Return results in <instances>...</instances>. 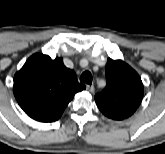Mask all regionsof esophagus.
Returning <instances> with one entry per match:
<instances>
[{
    "mask_svg": "<svg viewBox=\"0 0 165 154\" xmlns=\"http://www.w3.org/2000/svg\"><path fill=\"white\" fill-rule=\"evenodd\" d=\"M86 89L88 92L93 93L94 92V86L93 85H87Z\"/></svg>",
    "mask_w": 165,
    "mask_h": 154,
    "instance_id": "esophagus-1",
    "label": "esophagus"
}]
</instances>
